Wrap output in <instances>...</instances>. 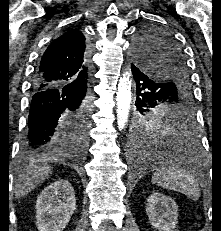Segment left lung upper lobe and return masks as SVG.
<instances>
[{
	"mask_svg": "<svg viewBox=\"0 0 221 231\" xmlns=\"http://www.w3.org/2000/svg\"><path fill=\"white\" fill-rule=\"evenodd\" d=\"M133 55L137 66L150 68L147 69L150 75L167 86L137 108L139 113L135 118L134 132L139 136H152L150 130H145V124L150 117L157 115L175 121L191 116L193 93L186 60L173 36L164 29L144 26L135 37Z\"/></svg>",
	"mask_w": 221,
	"mask_h": 231,
	"instance_id": "1",
	"label": "left lung upper lobe"
}]
</instances>
